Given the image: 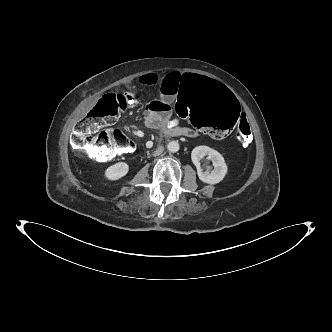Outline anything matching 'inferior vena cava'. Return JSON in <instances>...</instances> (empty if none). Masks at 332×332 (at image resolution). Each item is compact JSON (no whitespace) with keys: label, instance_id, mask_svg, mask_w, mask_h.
<instances>
[{"label":"inferior vena cava","instance_id":"inferior-vena-cava-1","mask_svg":"<svg viewBox=\"0 0 332 332\" xmlns=\"http://www.w3.org/2000/svg\"><path fill=\"white\" fill-rule=\"evenodd\" d=\"M162 151H163V149H162V148H160L159 150H157V151H156L155 155H159V154H161V153H162Z\"/></svg>","mask_w":332,"mask_h":332}]
</instances>
